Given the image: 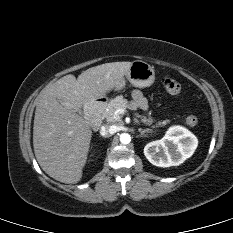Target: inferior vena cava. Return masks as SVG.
<instances>
[{"instance_id":"inferior-vena-cava-1","label":"inferior vena cava","mask_w":233,"mask_h":233,"mask_svg":"<svg viewBox=\"0 0 233 233\" xmlns=\"http://www.w3.org/2000/svg\"><path fill=\"white\" fill-rule=\"evenodd\" d=\"M116 132V127L114 125H105L100 129V134L102 136L112 135Z\"/></svg>"}]
</instances>
